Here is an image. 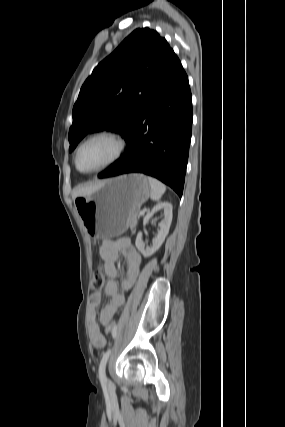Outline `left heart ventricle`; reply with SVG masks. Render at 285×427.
<instances>
[{
    "mask_svg": "<svg viewBox=\"0 0 285 427\" xmlns=\"http://www.w3.org/2000/svg\"><path fill=\"white\" fill-rule=\"evenodd\" d=\"M116 149V143L109 138H97L90 141L79 153L80 169L89 171L102 166L113 157Z\"/></svg>",
    "mask_w": 285,
    "mask_h": 427,
    "instance_id": "obj_1",
    "label": "left heart ventricle"
}]
</instances>
